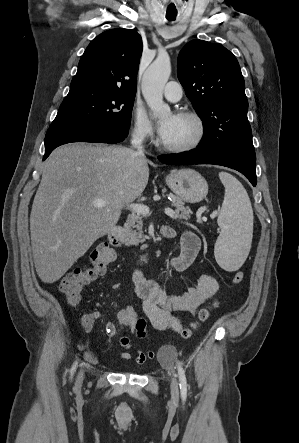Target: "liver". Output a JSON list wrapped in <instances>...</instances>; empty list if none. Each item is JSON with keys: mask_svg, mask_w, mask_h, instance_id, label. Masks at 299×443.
I'll return each instance as SVG.
<instances>
[{"mask_svg": "<svg viewBox=\"0 0 299 443\" xmlns=\"http://www.w3.org/2000/svg\"><path fill=\"white\" fill-rule=\"evenodd\" d=\"M149 161L122 146L67 144L44 163L30 215L36 272L59 280L93 243L112 231L125 204L141 196ZM106 200L95 207V199Z\"/></svg>", "mask_w": 299, "mask_h": 443, "instance_id": "1", "label": "liver"}]
</instances>
